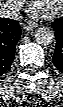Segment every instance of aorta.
<instances>
[{
	"mask_svg": "<svg viewBox=\"0 0 63 107\" xmlns=\"http://www.w3.org/2000/svg\"><path fill=\"white\" fill-rule=\"evenodd\" d=\"M34 37L38 44L47 46L54 41L55 35L52 29L48 27H40L35 31Z\"/></svg>",
	"mask_w": 63,
	"mask_h": 107,
	"instance_id": "aorta-1",
	"label": "aorta"
}]
</instances>
